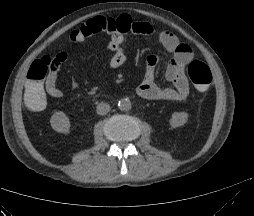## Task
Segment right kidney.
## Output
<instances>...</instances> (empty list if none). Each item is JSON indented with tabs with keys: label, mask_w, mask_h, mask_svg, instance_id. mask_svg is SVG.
Segmentation results:
<instances>
[{
	"label": "right kidney",
	"mask_w": 254,
	"mask_h": 216,
	"mask_svg": "<svg viewBox=\"0 0 254 216\" xmlns=\"http://www.w3.org/2000/svg\"><path fill=\"white\" fill-rule=\"evenodd\" d=\"M50 123L52 128L60 133H68L70 129V120L66 114L62 111L55 112L51 119Z\"/></svg>",
	"instance_id": "ca27d5eb"
}]
</instances>
